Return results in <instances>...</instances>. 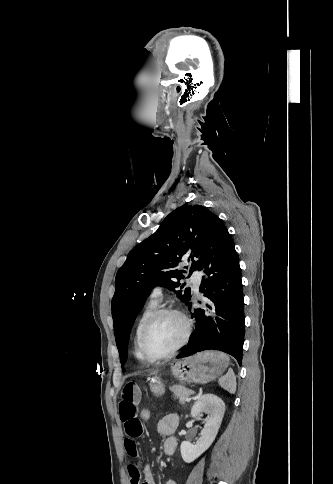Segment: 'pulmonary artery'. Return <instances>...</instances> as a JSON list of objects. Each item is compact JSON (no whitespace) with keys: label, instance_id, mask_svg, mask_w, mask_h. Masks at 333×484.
Instances as JSON below:
<instances>
[{"label":"pulmonary artery","instance_id":"1","mask_svg":"<svg viewBox=\"0 0 333 484\" xmlns=\"http://www.w3.org/2000/svg\"><path fill=\"white\" fill-rule=\"evenodd\" d=\"M190 281L193 285L194 290L198 291V288H199L200 283H201L200 274L194 273L192 275ZM161 296H162V289L160 287H156L152 290V292H151V300L152 301L158 302L160 300Z\"/></svg>","mask_w":333,"mask_h":484}]
</instances>
